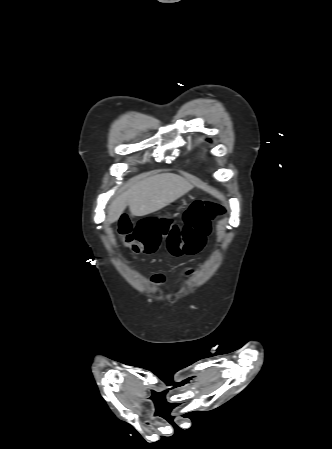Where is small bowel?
I'll list each match as a JSON object with an SVG mask.
<instances>
[{"instance_id": "obj_1", "label": "small bowel", "mask_w": 332, "mask_h": 449, "mask_svg": "<svg viewBox=\"0 0 332 449\" xmlns=\"http://www.w3.org/2000/svg\"><path fill=\"white\" fill-rule=\"evenodd\" d=\"M192 269H190V270H188V273H192ZM152 282L155 284V285H161V284H163L164 282H165V276H164V274L163 273H156V274H154L153 275V277H152Z\"/></svg>"}]
</instances>
